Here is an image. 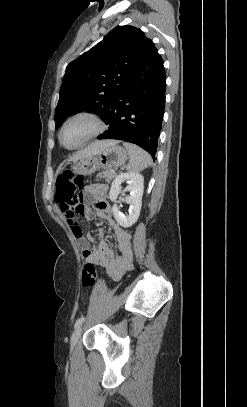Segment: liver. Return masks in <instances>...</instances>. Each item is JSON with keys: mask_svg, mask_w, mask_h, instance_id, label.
<instances>
[{"mask_svg": "<svg viewBox=\"0 0 247 407\" xmlns=\"http://www.w3.org/2000/svg\"><path fill=\"white\" fill-rule=\"evenodd\" d=\"M116 141H110V140H106V141H96L92 144H90L89 146L85 147L84 149L76 152L70 159L69 161H73L76 162L80 159H83L85 157L94 155L99 153L100 151H102L104 148H106L109 145L112 144H116Z\"/></svg>", "mask_w": 247, "mask_h": 407, "instance_id": "6515ba94", "label": "liver"}]
</instances>
